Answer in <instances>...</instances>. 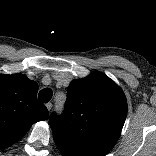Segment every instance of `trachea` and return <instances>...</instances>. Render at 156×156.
Masks as SVG:
<instances>
[{"label": "trachea", "mask_w": 156, "mask_h": 156, "mask_svg": "<svg viewBox=\"0 0 156 156\" xmlns=\"http://www.w3.org/2000/svg\"><path fill=\"white\" fill-rule=\"evenodd\" d=\"M52 90L50 88H44L42 89L39 94H38V98L44 102L47 103L51 100L52 98Z\"/></svg>", "instance_id": "3493384b"}]
</instances>
